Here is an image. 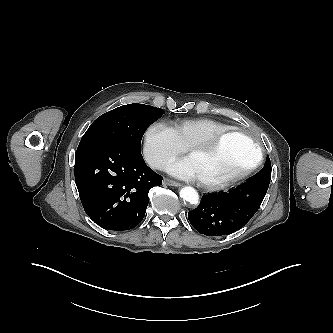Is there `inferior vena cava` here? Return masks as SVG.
I'll return each instance as SVG.
<instances>
[{
    "label": "inferior vena cava",
    "mask_w": 333,
    "mask_h": 333,
    "mask_svg": "<svg viewBox=\"0 0 333 333\" xmlns=\"http://www.w3.org/2000/svg\"><path fill=\"white\" fill-rule=\"evenodd\" d=\"M152 165L154 168L162 169L164 167V162H162L161 160H156L153 162Z\"/></svg>",
    "instance_id": "1"
}]
</instances>
